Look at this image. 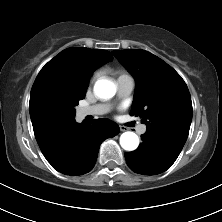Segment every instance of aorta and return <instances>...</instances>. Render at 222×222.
<instances>
[{
	"label": "aorta",
	"mask_w": 222,
	"mask_h": 222,
	"mask_svg": "<svg viewBox=\"0 0 222 222\" xmlns=\"http://www.w3.org/2000/svg\"><path fill=\"white\" fill-rule=\"evenodd\" d=\"M94 93L100 99H110L116 93V85L107 79L97 80L94 85ZM120 145L124 150L133 151L139 145V138L134 132H124L120 136Z\"/></svg>",
	"instance_id": "aorta-1"
}]
</instances>
